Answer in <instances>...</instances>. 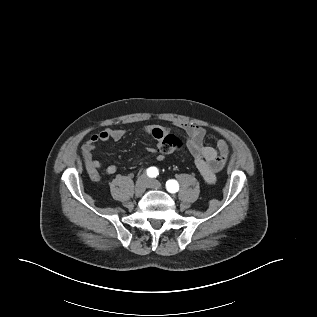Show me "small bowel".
Masks as SVG:
<instances>
[{
    "instance_id": "1",
    "label": "small bowel",
    "mask_w": 317,
    "mask_h": 317,
    "mask_svg": "<svg viewBox=\"0 0 317 317\" xmlns=\"http://www.w3.org/2000/svg\"><path fill=\"white\" fill-rule=\"evenodd\" d=\"M175 126L181 130L186 137V149L193 157L196 168L203 179L213 184L216 181V173L223 169L229 156L228 143L220 139L216 147L204 145L206 131L202 126L176 122ZM144 132L153 136L161 142L166 136L167 130L156 126H147ZM126 136V131L114 128H105L97 134H93L82 146V155L86 170L92 180H99L102 175H113L117 172L115 165H108L102 170V164L93 156L94 150L99 142L109 140L120 141ZM147 152L154 155L158 161L164 159V154L159 149L148 148Z\"/></svg>"
}]
</instances>
